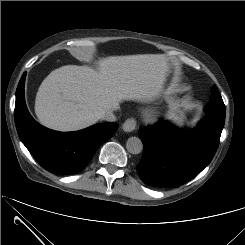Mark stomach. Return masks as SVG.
Masks as SVG:
<instances>
[{
	"label": "stomach",
	"instance_id": "1",
	"mask_svg": "<svg viewBox=\"0 0 245 245\" xmlns=\"http://www.w3.org/2000/svg\"><path fill=\"white\" fill-rule=\"evenodd\" d=\"M174 111H176V112H177V111H179V109H178V108H176V109H174ZM172 116H174V114H172Z\"/></svg>",
	"mask_w": 245,
	"mask_h": 245
}]
</instances>
